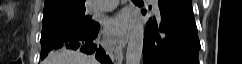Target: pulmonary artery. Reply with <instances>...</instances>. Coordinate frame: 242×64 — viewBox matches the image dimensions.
I'll return each mask as SVG.
<instances>
[{"instance_id":"1","label":"pulmonary artery","mask_w":242,"mask_h":64,"mask_svg":"<svg viewBox=\"0 0 242 64\" xmlns=\"http://www.w3.org/2000/svg\"><path fill=\"white\" fill-rule=\"evenodd\" d=\"M151 2L155 8H157V0H151ZM117 4V0H97L94 2V9L98 11H107L115 8Z\"/></svg>"}]
</instances>
